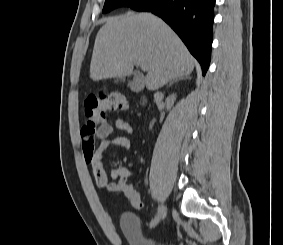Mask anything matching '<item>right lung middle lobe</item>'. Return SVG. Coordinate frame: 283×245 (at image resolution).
<instances>
[{
    "label": "right lung middle lobe",
    "mask_w": 283,
    "mask_h": 245,
    "mask_svg": "<svg viewBox=\"0 0 283 245\" xmlns=\"http://www.w3.org/2000/svg\"><path fill=\"white\" fill-rule=\"evenodd\" d=\"M142 0H106L103 8V13L109 12L115 8L127 6L132 7Z\"/></svg>",
    "instance_id": "1"
}]
</instances>
